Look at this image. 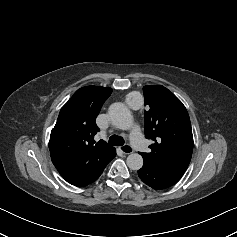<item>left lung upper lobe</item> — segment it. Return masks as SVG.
Listing matches in <instances>:
<instances>
[{
    "instance_id": "1",
    "label": "left lung upper lobe",
    "mask_w": 237,
    "mask_h": 237,
    "mask_svg": "<svg viewBox=\"0 0 237 237\" xmlns=\"http://www.w3.org/2000/svg\"><path fill=\"white\" fill-rule=\"evenodd\" d=\"M145 136L153 140L149 153H140L144 161L184 174L193 152V135L185 106L161 85L143 87Z\"/></svg>"
}]
</instances>
